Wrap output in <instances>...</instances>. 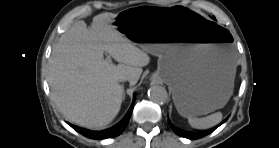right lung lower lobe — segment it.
Returning a JSON list of instances; mask_svg holds the SVG:
<instances>
[{"label":"right lung lower lobe","instance_id":"right-lung-lower-lobe-1","mask_svg":"<svg viewBox=\"0 0 279 148\" xmlns=\"http://www.w3.org/2000/svg\"><path fill=\"white\" fill-rule=\"evenodd\" d=\"M134 102H135V98H134V101H133V103H132L128 113L123 118V120L120 123H118L116 126L111 128V129H108V130H105V131L96 132V131H90V130H87V129H83V128L77 127V126L72 125L70 123H68V124L72 128H74L75 130H77L78 132L82 133L84 136H86L88 138H91V139L114 138V137L120 135L124 131V129L126 128L128 122H129L130 116L132 114Z\"/></svg>","mask_w":279,"mask_h":148}]
</instances>
